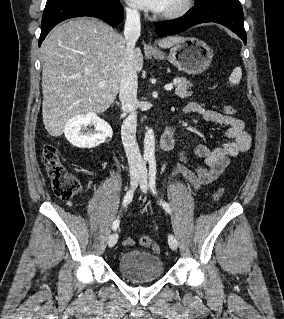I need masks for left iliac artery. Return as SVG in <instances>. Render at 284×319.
<instances>
[{"mask_svg":"<svg viewBox=\"0 0 284 319\" xmlns=\"http://www.w3.org/2000/svg\"><path fill=\"white\" fill-rule=\"evenodd\" d=\"M149 186L152 191V193L157 196L156 191V161L154 158H151L149 160ZM160 204L164 208V210L168 213L171 212V208L168 203L165 201L160 200Z\"/></svg>","mask_w":284,"mask_h":319,"instance_id":"44dca946","label":"left iliac artery"}]
</instances>
